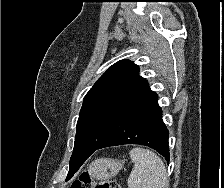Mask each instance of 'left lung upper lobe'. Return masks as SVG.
<instances>
[{"mask_svg": "<svg viewBox=\"0 0 224 188\" xmlns=\"http://www.w3.org/2000/svg\"><path fill=\"white\" fill-rule=\"evenodd\" d=\"M149 90L147 81L139 76L137 65L129 60L112 65L84 97L70 164L86 160L124 112Z\"/></svg>", "mask_w": 224, "mask_h": 188, "instance_id": "1", "label": "left lung upper lobe"}]
</instances>
